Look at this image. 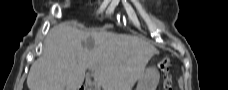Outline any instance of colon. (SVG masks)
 <instances>
[{"instance_id":"colon-1","label":"colon","mask_w":228,"mask_h":90,"mask_svg":"<svg viewBox=\"0 0 228 90\" xmlns=\"http://www.w3.org/2000/svg\"><path fill=\"white\" fill-rule=\"evenodd\" d=\"M170 65H171V60L169 57L163 58L160 62V69L164 73V81H163L164 90H173V82L169 74Z\"/></svg>"}]
</instances>
